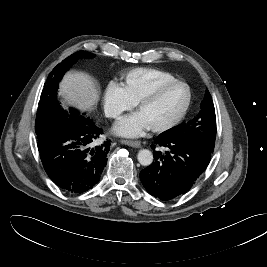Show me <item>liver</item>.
Wrapping results in <instances>:
<instances>
[{"label":"liver","instance_id":"obj_1","mask_svg":"<svg viewBox=\"0 0 267 267\" xmlns=\"http://www.w3.org/2000/svg\"><path fill=\"white\" fill-rule=\"evenodd\" d=\"M59 94L80 110L91 111L99 100L94 81L81 72L66 74L60 84Z\"/></svg>","mask_w":267,"mask_h":267}]
</instances>
